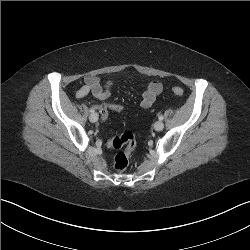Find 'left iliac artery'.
<instances>
[{
  "instance_id": "left-iliac-artery-1",
  "label": "left iliac artery",
  "mask_w": 250,
  "mask_h": 250,
  "mask_svg": "<svg viewBox=\"0 0 250 250\" xmlns=\"http://www.w3.org/2000/svg\"><path fill=\"white\" fill-rule=\"evenodd\" d=\"M159 120H163V116L162 115L159 116Z\"/></svg>"
}]
</instances>
